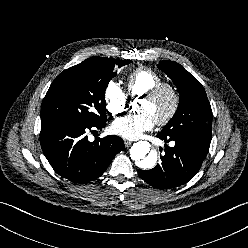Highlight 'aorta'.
Instances as JSON below:
<instances>
[{
	"mask_svg": "<svg viewBox=\"0 0 248 248\" xmlns=\"http://www.w3.org/2000/svg\"><path fill=\"white\" fill-rule=\"evenodd\" d=\"M130 157L142 169H151L158 161L157 153L151 151V145L147 141L134 143L130 149Z\"/></svg>",
	"mask_w": 248,
	"mask_h": 248,
	"instance_id": "aorta-1",
	"label": "aorta"
}]
</instances>
